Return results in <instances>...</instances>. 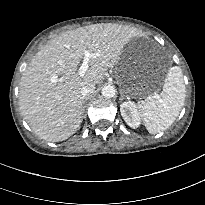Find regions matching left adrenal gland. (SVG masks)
I'll return each mask as SVG.
<instances>
[{
	"instance_id": "1",
	"label": "left adrenal gland",
	"mask_w": 205,
	"mask_h": 205,
	"mask_svg": "<svg viewBox=\"0 0 205 205\" xmlns=\"http://www.w3.org/2000/svg\"><path fill=\"white\" fill-rule=\"evenodd\" d=\"M125 95L123 94V92L121 93V96H120V100L122 101L124 99Z\"/></svg>"
}]
</instances>
